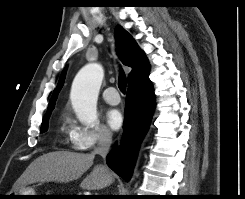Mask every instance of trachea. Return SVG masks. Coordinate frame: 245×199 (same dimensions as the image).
Here are the masks:
<instances>
[{
	"instance_id": "obj_1",
	"label": "trachea",
	"mask_w": 245,
	"mask_h": 199,
	"mask_svg": "<svg viewBox=\"0 0 245 199\" xmlns=\"http://www.w3.org/2000/svg\"><path fill=\"white\" fill-rule=\"evenodd\" d=\"M126 85H127L126 76L124 72H121L118 80V87L122 93L126 92Z\"/></svg>"
}]
</instances>
